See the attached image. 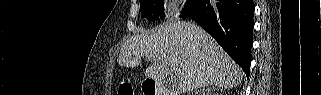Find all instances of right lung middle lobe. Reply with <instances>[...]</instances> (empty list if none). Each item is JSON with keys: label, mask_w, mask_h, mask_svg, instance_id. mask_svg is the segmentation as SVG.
<instances>
[{"label": "right lung middle lobe", "mask_w": 321, "mask_h": 95, "mask_svg": "<svg viewBox=\"0 0 321 95\" xmlns=\"http://www.w3.org/2000/svg\"><path fill=\"white\" fill-rule=\"evenodd\" d=\"M204 0H187L185 8L181 13L182 18L189 17ZM141 17H146L149 21L157 20L164 15V3L162 0H141ZM149 13V14H148Z\"/></svg>", "instance_id": "right-lung-middle-lobe-1"}]
</instances>
